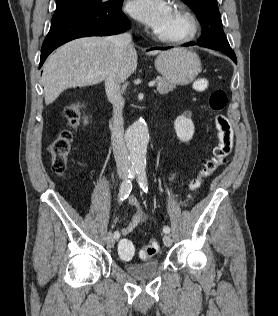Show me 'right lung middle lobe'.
<instances>
[{
	"instance_id": "obj_1",
	"label": "right lung middle lobe",
	"mask_w": 278,
	"mask_h": 316,
	"mask_svg": "<svg viewBox=\"0 0 278 316\" xmlns=\"http://www.w3.org/2000/svg\"><path fill=\"white\" fill-rule=\"evenodd\" d=\"M113 1V0H109ZM102 0H56L55 14L69 12L81 8L105 5Z\"/></svg>"
}]
</instances>
